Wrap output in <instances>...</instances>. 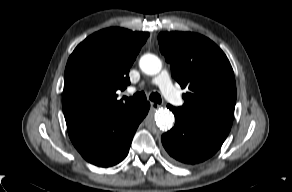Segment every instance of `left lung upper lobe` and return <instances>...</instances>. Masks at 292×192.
<instances>
[{
    "mask_svg": "<svg viewBox=\"0 0 292 192\" xmlns=\"http://www.w3.org/2000/svg\"><path fill=\"white\" fill-rule=\"evenodd\" d=\"M160 51L171 65L174 79L189 91L184 104L173 107L184 120L231 128L236 83L229 60L210 39L190 32H162Z\"/></svg>",
    "mask_w": 292,
    "mask_h": 192,
    "instance_id": "obj_1",
    "label": "left lung upper lobe"
}]
</instances>
